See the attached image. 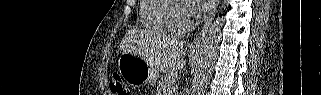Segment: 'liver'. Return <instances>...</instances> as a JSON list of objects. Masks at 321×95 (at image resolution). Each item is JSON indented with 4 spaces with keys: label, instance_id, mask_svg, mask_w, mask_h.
Returning a JSON list of instances; mask_svg holds the SVG:
<instances>
[{
    "label": "liver",
    "instance_id": "6515ba94",
    "mask_svg": "<svg viewBox=\"0 0 321 95\" xmlns=\"http://www.w3.org/2000/svg\"><path fill=\"white\" fill-rule=\"evenodd\" d=\"M150 38L146 31L132 28L122 39L119 49L132 54H142V58L161 72H176L186 65L184 60L186 43L170 36H159L155 39L151 51L148 52L145 39Z\"/></svg>",
    "mask_w": 321,
    "mask_h": 95
}]
</instances>
